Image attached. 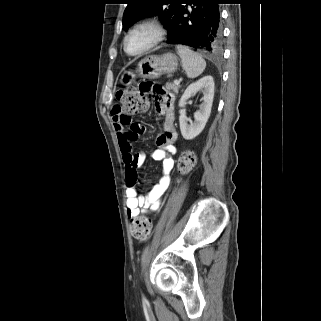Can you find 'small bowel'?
Listing matches in <instances>:
<instances>
[{"instance_id":"obj_1","label":"small bowel","mask_w":321,"mask_h":321,"mask_svg":"<svg viewBox=\"0 0 321 321\" xmlns=\"http://www.w3.org/2000/svg\"><path fill=\"white\" fill-rule=\"evenodd\" d=\"M162 87V82L137 83L136 85L137 90H147L148 96H155L156 114L163 117V132L157 136V148L152 152V158L162 162V173L153 187L144 195H139L135 187L128 185L126 207L130 219L148 210L157 211L161 198L171 181L174 160L170 155L176 152L175 142L177 140L175 106L174 96ZM112 121L123 156L128 183L130 175L137 172L146 158L143 152L133 150V142L145 131V126L133 122L130 116L124 115L117 107L112 110Z\"/></svg>"}]
</instances>
